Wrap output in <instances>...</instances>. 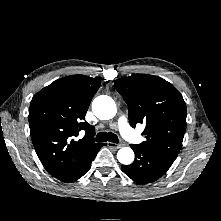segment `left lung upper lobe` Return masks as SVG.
<instances>
[{
	"label": "left lung upper lobe",
	"instance_id": "obj_1",
	"mask_svg": "<svg viewBox=\"0 0 221 221\" xmlns=\"http://www.w3.org/2000/svg\"><path fill=\"white\" fill-rule=\"evenodd\" d=\"M115 89L128 105L132 127L146 125V141L140 145L176 157L186 129V104L180 92L169 82L153 75L134 74L119 78Z\"/></svg>",
	"mask_w": 221,
	"mask_h": 221
}]
</instances>
